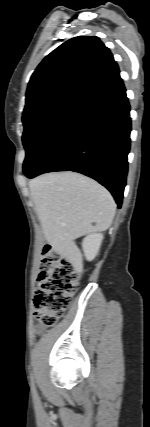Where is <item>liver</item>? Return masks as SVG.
<instances>
[{
  "label": "liver",
  "mask_w": 150,
  "mask_h": 427,
  "mask_svg": "<svg viewBox=\"0 0 150 427\" xmlns=\"http://www.w3.org/2000/svg\"><path fill=\"white\" fill-rule=\"evenodd\" d=\"M29 188L44 236L61 255L76 249V238L105 231L113 221L116 204L109 191L81 174H44Z\"/></svg>",
  "instance_id": "liver-1"
}]
</instances>
